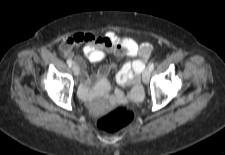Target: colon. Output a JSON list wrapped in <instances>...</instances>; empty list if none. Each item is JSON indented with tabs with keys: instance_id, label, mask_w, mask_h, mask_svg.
Returning <instances> with one entry per match:
<instances>
[{
	"instance_id": "colon-1",
	"label": "colon",
	"mask_w": 225,
	"mask_h": 155,
	"mask_svg": "<svg viewBox=\"0 0 225 155\" xmlns=\"http://www.w3.org/2000/svg\"><path fill=\"white\" fill-rule=\"evenodd\" d=\"M133 120V110L129 107L122 106L101 116L98 119L97 126L103 132L113 133L127 127Z\"/></svg>"
}]
</instances>
